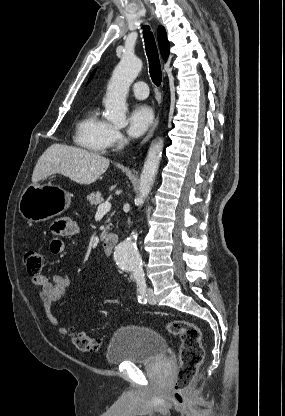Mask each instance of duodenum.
Instances as JSON below:
<instances>
[{"label":"duodenum","instance_id":"obj_1","mask_svg":"<svg viewBox=\"0 0 285 416\" xmlns=\"http://www.w3.org/2000/svg\"><path fill=\"white\" fill-rule=\"evenodd\" d=\"M118 238L115 235L107 236L102 242V249L105 255H110L116 245Z\"/></svg>","mask_w":285,"mask_h":416}]
</instances>
